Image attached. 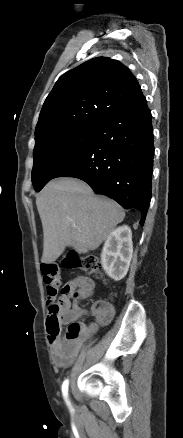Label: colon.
I'll list each match as a JSON object with an SVG mask.
<instances>
[{"instance_id": "obj_1", "label": "colon", "mask_w": 183, "mask_h": 438, "mask_svg": "<svg viewBox=\"0 0 183 438\" xmlns=\"http://www.w3.org/2000/svg\"><path fill=\"white\" fill-rule=\"evenodd\" d=\"M61 264L66 269H79L87 274L95 275L99 278L103 277L102 267L98 259L93 255L79 254L71 251L66 254ZM43 281L46 286L48 295L46 319L48 334L57 336L61 331L62 310L66 300L72 294L67 287L61 289V297L56 299L60 286V268L57 263H45L41 265ZM82 333V325L77 321H72L68 324L65 338L67 340L77 339Z\"/></svg>"}]
</instances>
